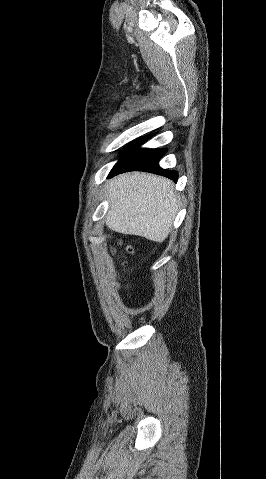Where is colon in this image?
I'll return each mask as SVG.
<instances>
[{
	"label": "colon",
	"instance_id": "5ec220e1",
	"mask_svg": "<svg viewBox=\"0 0 266 479\" xmlns=\"http://www.w3.org/2000/svg\"><path fill=\"white\" fill-rule=\"evenodd\" d=\"M127 251H129V252H130V251H131V248H129V247H128V248H127ZM112 252H113V253H115V252H116V250H115V249H113V250H112Z\"/></svg>",
	"mask_w": 266,
	"mask_h": 479
}]
</instances>
